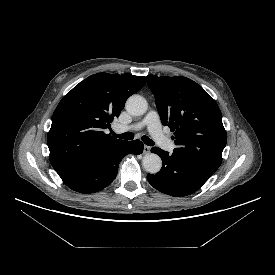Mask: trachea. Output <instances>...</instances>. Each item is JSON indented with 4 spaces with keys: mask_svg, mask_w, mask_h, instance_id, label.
I'll return each mask as SVG.
<instances>
[{
    "mask_svg": "<svg viewBox=\"0 0 275 275\" xmlns=\"http://www.w3.org/2000/svg\"><path fill=\"white\" fill-rule=\"evenodd\" d=\"M113 136L120 138V139H125V140H132L134 138V134L131 132H126L123 134H116L114 132H112ZM142 141L148 145V146H153L154 142L147 136H142Z\"/></svg>",
    "mask_w": 275,
    "mask_h": 275,
    "instance_id": "1",
    "label": "trachea"
}]
</instances>
